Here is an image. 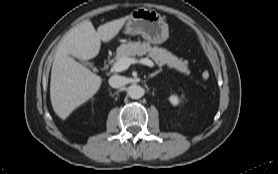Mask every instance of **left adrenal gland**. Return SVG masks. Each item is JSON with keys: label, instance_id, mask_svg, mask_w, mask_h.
Masks as SVG:
<instances>
[{"label": "left adrenal gland", "instance_id": "left-adrenal-gland-1", "mask_svg": "<svg viewBox=\"0 0 278 174\" xmlns=\"http://www.w3.org/2000/svg\"><path fill=\"white\" fill-rule=\"evenodd\" d=\"M161 71H162V70L159 69V70L155 71L154 73L150 74L148 77H149V78H152V77L156 76L157 74H159Z\"/></svg>", "mask_w": 278, "mask_h": 174}]
</instances>
